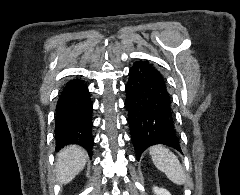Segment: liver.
Instances as JSON below:
<instances>
[{
    "label": "liver",
    "instance_id": "6515ba94",
    "mask_svg": "<svg viewBox=\"0 0 240 195\" xmlns=\"http://www.w3.org/2000/svg\"><path fill=\"white\" fill-rule=\"evenodd\" d=\"M88 153L80 145H67L57 153L56 177L60 183H69L87 161Z\"/></svg>",
    "mask_w": 240,
    "mask_h": 195
}]
</instances>
